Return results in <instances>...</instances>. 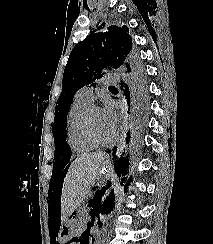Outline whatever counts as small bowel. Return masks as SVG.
Masks as SVG:
<instances>
[{
	"mask_svg": "<svg viewBox=\"0 0 213 244\" xmlns=\"http://www.w3.org/2000/svg\"><path fill=\"white\" fill-rule=\"evenodd\" d=\"M70 244H80V241H73L72 243Z\"/></svg>",
	"mask_w": 213,
	"mask_h": 244,
	"instance_id": "c3829d8e",
	"label": "small bowel"
}]
</instances>
